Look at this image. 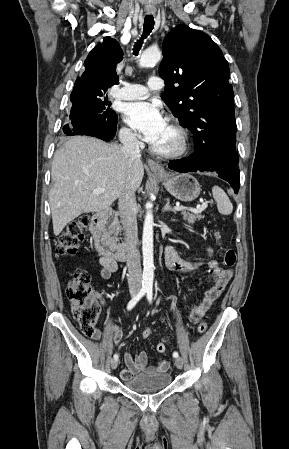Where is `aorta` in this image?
I'll list each match as a JSON object with an SVG mask.
<instances>
[{
  "mask_svg": "<svg viewBox=\"0 0 289 449\" xmlns=\"http://www.w3.org/2000/svg\"><path fill=\"white\" fill-rule=\"evenodd\" d=\"M161 60V52L155 48L145 50L139 60L141 67H149L155 65ZM147 213L144 220L143 236H142V253H143V276L142 286L144 288H152L154 279V259H153V214L152 203L146 205Z\"/></svg>",
  "mask_w": 289,
  "mask_h": 449,
  "instance_id": "762f6f07",
  "label": "aorta"
}]
</instances>
